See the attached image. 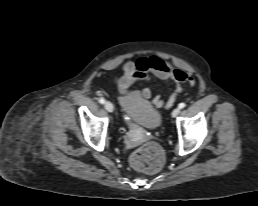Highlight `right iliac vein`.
Here are the masks:
<instances>
[{"label": "right iliac vein", "instance_id": "1", "mask_svg": "<svg viewBox=\"0 0 258 206\" xmlns=\"http://www.w3.org/2000/svg\"><path fill=\"white\" fill-rule=\"evenodd\" d=\"M105 109L108 111V112H113L114 111V106L111 102L107 101L105 102Z\"/></svg>", "mask_w": 258, "mask_h": 206}]
</instances>
